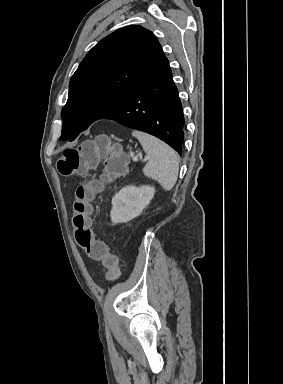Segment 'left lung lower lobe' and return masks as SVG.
I'll return each instance as SVG.
<instances>
[{
	"label": "left lung lower lobe",
	"mask_w": 283,
	"mask_h": 384,
	"mask_svg": "<svg viewBox=\"0 0 283 384\" xmlns=\"http://www.w3.org/2000/svg\"><path fill=\"white\" fill-rule=\"evenodd\" d=\"M101 119L156 136L182 155L184 116L168 59L164 58Z\"/></svg>",
	"instance_id": "left-lung-lower-lobe-1"
}]
</instances>
